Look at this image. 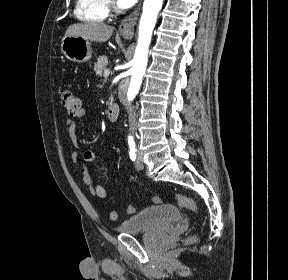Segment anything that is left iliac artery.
<instances>
[{
  "instance_id": "1",
  "label": "left iliac artery",
  "mask_w": 288,
  "mask_h": 280,
  "mask_svg": "<svg viewBox=\"0 0 288 280\" xmlns=\"http://www.w3.org/2000/svg\"><path fill=\"white\" fill-rule=\"evenodd\" d=\"M136 145L134 141H129V156L132 161L136 159Z\"/></svg>"
}]
</instances>
